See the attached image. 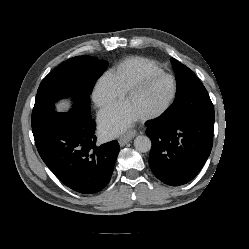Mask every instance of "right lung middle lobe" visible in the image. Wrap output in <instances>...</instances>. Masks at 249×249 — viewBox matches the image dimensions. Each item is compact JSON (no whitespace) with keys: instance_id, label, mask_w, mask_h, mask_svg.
Instances as JSON below:
<instances>
[{"instance_id":"dd1d6c3e","label":"right lung middle lobe","mask_w":249,"mask_h":249,"mask_svg":"<svg viewBox=\"0 0 249 249\" xmlns=\"http://www.w3.org/2000/svg\"><path fill=\"white\" fill-rule=\"evenodd\" d=\"M107 67L106 61L91 56H77L61 63L42 80L38 88L32 126L55 112L54 103L70 94L75 95L74 106H90L89 95Z\"/></svg>"}]
</instances>
